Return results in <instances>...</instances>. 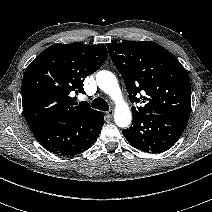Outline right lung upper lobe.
Instances as JSON below:
<instances>
[{
    "label": "right lung upper lobe",
    "instance_id": "cb5924a9",
    "mask_svg": "<svg viewBox=\"0 0 212 212\" xmlns=\"http://www.w3.org/2000/svg\"><path fill=\"white\" fill-rule=\"evenodd\" d=\"M106 47L57 43L39 54L26 68L22 104L31 129L42 124L65 122L99 114L73 93H84L83 79L97 71L107 58Z\"/></svg>",
    "mask_w": 212,
    "mask_h": 212
}]
</instances>
